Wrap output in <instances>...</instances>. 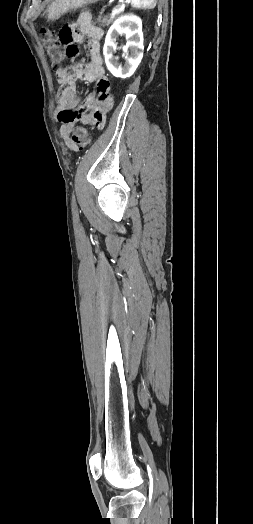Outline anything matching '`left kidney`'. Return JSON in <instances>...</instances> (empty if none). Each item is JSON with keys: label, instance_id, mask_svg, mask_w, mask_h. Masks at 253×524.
Listing matches in <instances>:
<instances>
[{"label": "left kidney", "instance_id": "5707ae66", "mask_svg": "<svg viewBox=\"0 0 253 524\" xmlns=\"http://www.w3.org/2000/svg\"><path fill=\"white\" fill-rule=\"evenodd\" d=\"M122 35L127 39L126 45L123 46V51L126 53V63L123 66L113 56V53L117 50L116 39ZM143 49L141 19L134 15L118 18L108 30L103 47V55L108 70L115 77L123 79L130 77L143 58Z\"/></svg>", "mask_w": 253, "mask_h": 524}]
</instances>
